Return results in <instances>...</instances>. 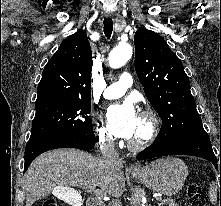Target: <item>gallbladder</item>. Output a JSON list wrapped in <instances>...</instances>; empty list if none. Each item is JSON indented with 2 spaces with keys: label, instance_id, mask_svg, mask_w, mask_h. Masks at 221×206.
Listing matches in <instances>:
<instances>
[{
  "label": "gallbladder",
  "instance_id": "gallbladder-1",
  "mask_svg": "<svg viewBox=\"0 0 221 206\" xmlns=\"http://www.w3.org/2000/svg\"><path fill=\"white\" fill-rule=\"evenodd\" d=\"M60 189H53L55 198H60V202H65L70 206H83L84 198L81 197V193H75V189H69V185H60Z\"/></svg>",
  "mask_w": 221,
  "mask_h": 206
}]
</instances>
